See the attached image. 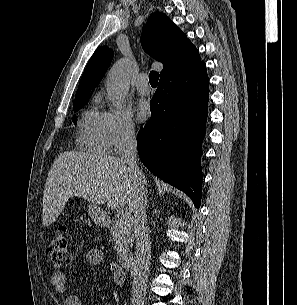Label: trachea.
<instances>
[{
    "label": "trachea",
    "instance_id": "3493384b",
    "mask_svg": "<svg viewBox=\"0 0 297 305\" xmlns=\"http://www.w3.org/2000/svg\"><path fill=\"white\" fill-rule=\"evenodd\" d=\"M159 74L156 71H151L149 74V82L153 86L158 85Z\"/></svg>",
    "mask_w": 297,
    "mask_h": 305
}]
</instances>
